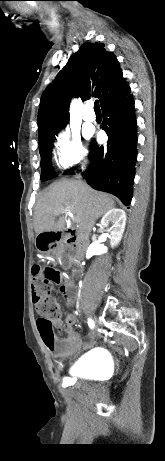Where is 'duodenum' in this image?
<instances>
[{
    "mask_svg": "<svg viewBox=\"0 0 165 461\" xmlns=\"http://www.w3.org/2000/svg\"><path fill=\"white\" fill-rule=\"evenodd\" d=\"M52 239H57L68 245H73L77 250V257L80 260L83 257L84 243L79 239L78 233L74 229L59 230L53 233Z\"/></svg>",
    "mask_w": 165,
    "mask_h": 461,
    "instance_id": "1",
    "label": "duodenum"
}]
</instances>
